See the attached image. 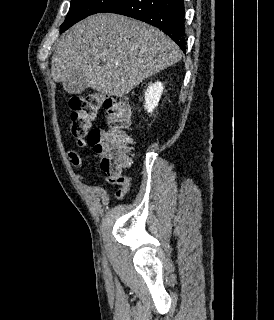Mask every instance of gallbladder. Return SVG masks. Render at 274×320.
I'll return each instance as SVG.
<instances>
[{
  "mask_svg": "<svg viewBox=\"0 0 274 320\" xmlns=\"http://www.w3.org/2000/svg\"><path fill=\"white\" fill-rule=\"evenodd\" d=\"M69 78H65V89L68 95H83L84 90H88V80L82 68H75L74 72H69Z\"/></svg>",
  "mask_w": 274,
  "mask_h": 320,
  "instance_id": "1",
  "label": "gallbladder"
}]
</instances>
